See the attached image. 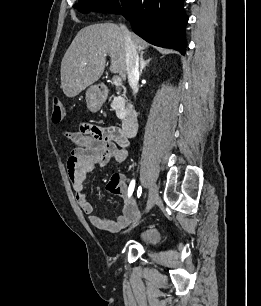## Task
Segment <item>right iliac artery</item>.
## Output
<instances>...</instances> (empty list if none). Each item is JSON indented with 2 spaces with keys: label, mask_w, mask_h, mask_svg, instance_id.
I'll list each match as a JSON object with an SVG mask.
<instances>
[{
  "label": "right iliac artery",
  "mask_w": 261,
  "mask_h": 306,
  "mask_svg": "<svg viewBox=\"0 0 261 306\" xmlns=\"http://www.w3.org/2000/svg\"><path fill=\"white\" fill-rule=\"evenodd\" d=\"M134 185H135V182L134 180L130 183V186H129V195L132 194L133 190H134ZM142 194V187L139 186L138 187V190H137V197L140 198Z\"/></svg>",
  "instance_id": "obj_1"
}]
</instances>
